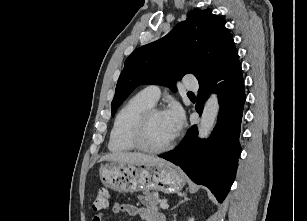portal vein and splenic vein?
Segmentation results:
<instances>
[{
  "label": "portal vein and splenic vein",
  "instance_id": "1",
  "mask_svg": "<svg viewBox=\"0 0 307 221\" xmlns=\"http://www.w3.org/2000/svg\"><path fill=\"white\" fill-rule=\"evenodd\" d=\"M160 207H161L163 210H166V209H168L169 205H168L167 203H165V202H162V203L160 204Z\"/></svg>",
  "mask_w": 307,
  "mask_h": 221
}]
</instances>
